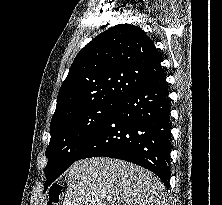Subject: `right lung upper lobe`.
Returning <instances> with one entry per match:
<instances>
[{"mask_svg":"<svg viewBox=\"0 0 222 205\" xmlns=\"http://www.w3.org/2000/svg\"><path fill=\"white\" fill-rule=\"evenodd\" d=\"M152 40L139 27L120 24L95 37L76 56L57 97L55 123L88 106L121 101L163 72Z\"/></svg>","mask_w":222,"mask_h":205,"instance_id":"right-lung-upper-lobe-1","label":"right lung upper lobe"}]
</instances>
